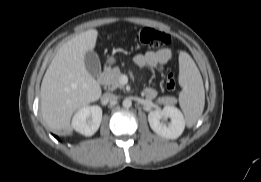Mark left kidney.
I'll list each match as a JSON object with an SVG mask.
<instances>
[{
	"label": "left kidney",
	"instance_id": "1",
	"mask_svg": "<svg viewBox=\"0 0 261 182\" xmlns=\"http://www.w3.org/2000/svg\"><path fill=\"white\" fill-rule=\"evenodd\" d=\"M168 118L169 123L166 122ZM148 121L156 134L167 139H177L185 128L182 112L171 105H166L162 110L151 111L148 114Z\"/></svg>",
	"mask_w": 261,
	"mask_h": 182
}]
</instances>
